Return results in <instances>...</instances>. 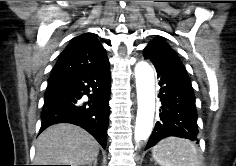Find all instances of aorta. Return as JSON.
<instances>
[{
    "label": "aorta",
    "mask_w": 236,
    "mask_h": 166,
    "mask_svg": "<svg viewBox=\"0 0 236 166\" xmlns=\"http://www.w3.org/2000/svg\"><path fill=\"white\" fill-rule=\"evenodd\" d=\"M138 110L134 138L137 142L146 140L153 128L155 112V82L152 67L144 61L135 67Z\"/></svg>",
    "instance_id": "obj_1"
}]
</instances>
